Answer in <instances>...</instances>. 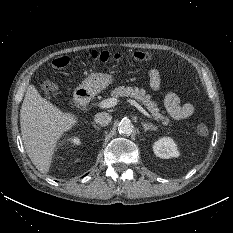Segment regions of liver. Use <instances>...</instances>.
Returning a JSON list of instances; mask_svg holds the SVG:
<instances>
[{
	"instance_id": "1",
	"label": "liver",
	"mask_w": 233,
	"mask_h": 233,
	"mask_svg": "<svg viewBox=\"0 0 233 233\" xmlns=\"http://www.w3.org/2000/svg\"><path fill=\"white\" fill-rule=\"evenodd\" d=\"M78 122V117L63 112L29 85L20 110L22 140L32 163L41 173L50 169L57 141Z\"/></svg>"
}]
</instances>
